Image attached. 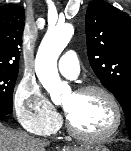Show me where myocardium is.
I'll list each match as a JSON object with an SVG mask.
<instances>
[{
	"label": "myocardium",
	"instance_id": "1",
	"mask_svg": "<svg viewBox=\"0 0 131 151\" xmlns=\"http://www.w3.org/2000/svg\"><path fill=\"white\" fill-rule=\"evenodd\" d=\"M75 93L76 94L99 93L103 95L112 106L115 119H114L113 126L107 132L103 134H88V133L79 131L73 125L68 115H66V128L68 132L75 138L85 140V141H92V142H102V141H106L112 138L118 132L122 124V109L115 95L110 90L100 85H85L78 88L75 91Z\"/></svg>",
	"mask_w": 131,
	"mask_h": 151
}]
</instances>
